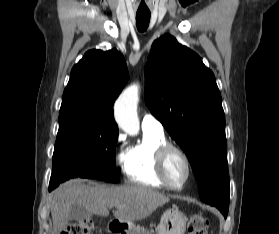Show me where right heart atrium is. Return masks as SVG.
Returning <instances> with one entry per match:
<instances>
[{
    "label": "right heart atrium",
    "mask_w": 279,
    "mask_h": 234,
    "mask_svg": "<svg viewBox=\"0 0 279 234\" xmlns=\"http://www.w3.org/2000/svg\"><path fill=\"white\" fill-rule=\"evenodd\" d=\"M122 139H123V137L120 135V136L118 137V141H122Z\"/></svg>",
    "instance_id": "d8ad5b80"
}]
</instances>
